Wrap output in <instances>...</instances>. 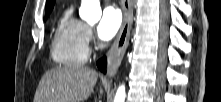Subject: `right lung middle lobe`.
<instances>
[{
    "mask_svg": "<svg viewBox=\"0 0 221 102\" xmlns=\"http://www.w3.org/2000/svg\"><path fill=\"white\" fill-rule=\"evenodd\" d=\"M49 14H50L49 12L46 13V15H49Z\"/></svg>",
    "mask_w": 221,
    "mask_h": 102,
    "instance_id": "obj_1",
    "label": "right lung middle lobe"
}]
</instances>
